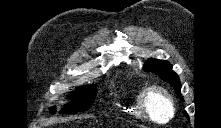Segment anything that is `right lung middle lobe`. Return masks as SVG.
Masks as SVG:
<instances>
[{
  "instance_id": "right-lung-middle-lobe-1",
  "label": "right lung middle lobe",
  "mask_w": 221,
  "mask_h": 128,
  "mask_svg": "<svg viewBox=\"0 0 221 128\" xmlns=\"http://www.w3.org/2000/svg\"><path fill=\"white\" fill-rule=\"evenodd\" d=\"M97 89L96 86H86L77 89L74 94L75 101L62 109L61 113L72 114L80 111L88 110L96 97Z\"/></svg>"
}]
</instances>
